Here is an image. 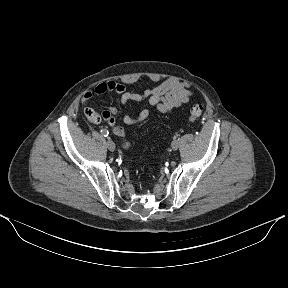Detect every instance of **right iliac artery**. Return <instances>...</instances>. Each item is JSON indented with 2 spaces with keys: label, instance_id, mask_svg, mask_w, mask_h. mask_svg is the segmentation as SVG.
Returning <instances> with one entry per match:
<instances>
[{
  "label": "right iliac artery",
  "instance_id": "right-iliac-artery-1",
  "mask_svg": "<svg viewBox=\"0 0 288 288\" xmlns=\"http://www.w3.org/2000/svg\"><path fill=\"white\" fill-rule=\"evenodd\" d=\"M101 134L104 136V137H107L109 135V131L106 130V129H102L101 130Z\"/></svg>",
  "mask_w": 288,
  "mask_h": 288
}]
</instances>
